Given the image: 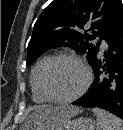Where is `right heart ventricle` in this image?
I'll return each mask as SVG.
<instances>
[{
    "instance_id": "right-heart-ventricle-1",
    "label": "right heart ventricle",
    "mask_w": 123,
    "mask_h": 130,
    "mask_svg": "<svg viewBox=\"0 0 123 130\" xmlns=\"http://www.w3.org/2000/svg\"><path fill=\"white\" fill-rule=\"evenodd\" d=\"M52 58L51 55H46L40 58L36 64L33 66L31 73H30V86L32 91V97L33 100L36 103H47L51 100L45 95L42 84H41V77L42 72L46 66V64L49 62V60Z\"/></svg>"
}]
</instances>
